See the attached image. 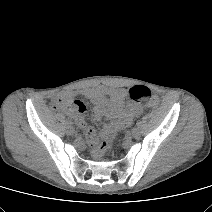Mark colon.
Returning <instances> with one entry per match:
<instances>
[{
  "instance_id": "obj_1",
  "label": "colon",
  "mask_w": 212,
  "mask_h": 212,
  "mask_svg": "<svg viewBox=\"0 0 212 212\" xmlns=\"http://www.w3.org/2000/svg\"><path fill=\"white\" fill-rule=\"evenodd\" d=\"M125 94L134 101L145 102L151 106H156L159 103L158 98L152 95L149 88L143 85L133 86ZM55 107L65 112H76V113H82L86 109L83 102L68 97L59 98L56 101ZM110 148H111L110 140H105L100 145V151H107Z\"/></svg>"
}]
</instances>
